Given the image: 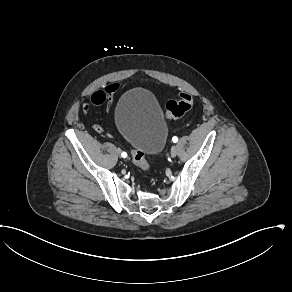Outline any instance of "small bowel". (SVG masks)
I'll return each instance as SVG.
<instances>
[{
  "label": "small bowel",
  "mask_w": 292,
  "mask_h": 292,
  "mask_svg": "<svg viewBox=\"0 0 292 292\" xmlns=\"http://www.w3.org/2000/svg\"><path fill=\"white\" fill-rule=\"evenodd\" d=\"M122 89V84L120 82H115V83H108L105 86V91L107 93H110L109 96L107 97V101L105 102V106L109 109H113V104H114V96L117 94V91H120ZM107 116L111 115L110 111L106 112Z\"/></svg>",
  "instance_id": "1"
}]
</instances>
